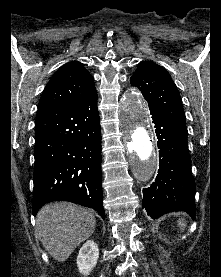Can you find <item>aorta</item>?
<instances>
[{
	"label": "aorta",
	"mask_w": 221,
	"mask_h": 277,
	"mask_svg": "<svg viewBox=\"0 0 221 277\" xmlns=\"http://www.w3.org/2000/svg\"><path fill=\"white\" fill-rule=\"evenodd\" d=\"M119 119L128 151L134 156L132 169L140 181H148L158 167L150 120L143 99L131 90L119 102Z\"/></svg>",
	"instance_id": "762f6f07"
}]
</instances>
